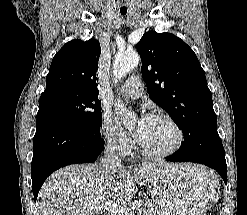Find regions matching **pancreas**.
Returning a JSON list of instances; mask_svg holds the SVG:
<instances>
[{"mask_svg":"<svg viewBox=\"0 0 247 215\" xmlns=\"http://www.w3.org/2000/svg\"><path fill=\"white\" fill-rule=\"evenodd\" d=\"M140 206L138 207V211L140 215H156L157 210L154 208V205L150 202L139 201Z\"/></svg>","mask_w":247,"mask_h":215,"instance_id":"obj_1","label":"pancreas"}]
</instances>
